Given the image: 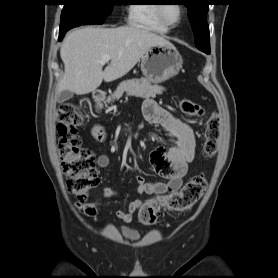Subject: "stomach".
Here are the masks:
<instances>
[{"mask_svg":"<svg viewBox=\"0 0 278 278\" xmlns=\"http://www.w3.org/2000/svg\"><path fill=\"white\" fill-rule=\"evenodd\" d=\"M183 59L172 44L150 47L141 59V71L151 83H161L178 75Z\"/></svg>","mask_w":278,"mask_h":278,"instance_id":"stomach-1","label":"stomach"}]
</instances>
